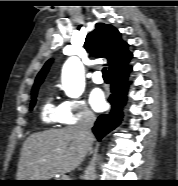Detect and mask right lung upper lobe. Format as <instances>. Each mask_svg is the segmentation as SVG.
I'll use <instances>...</instances> for the list:
<instances>
[{"label":"right lung upper lobe","instance_id":"obj_1","mask_svg":"<svg viewBox=\"0 0 178 186\" xmlns=\"http://www.w3.org/2000/svg\"><path fill=\"white\" fill-rule=\"evenodd\" d=\"M84 46L92 56L106 58L109 71L127 64L133 57L128 51V44L121 40L118 30L109 24L97 23L95 30L86 36ZM51 63L52 59L38 73L32 94L37 92Z\"/></svg>","mask_w":178,"mask_h":186}]
</instances>
